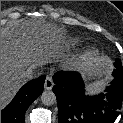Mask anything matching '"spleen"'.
<instances>
[{"label": "spleen", "instance_id": "obj_1", "mask_svg": "<svg viewBox=\"0 0 123 123\" xmlns=\"http://www.w3.org/2000/svg\"><path fill=\"white\" fill-rule=\"evenodd\" d=\"M107 83V78L101 79L100 81H97L96 83L90 85L88 87V90L91 94L95 92H100L106 85Z\"/></svg>", "mask_w": 123, "mask_h": 123}]
</instances>
